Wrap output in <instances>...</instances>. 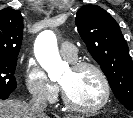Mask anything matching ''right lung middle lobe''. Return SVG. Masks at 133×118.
<instances>
[{
    "label": "right lung middle lobe",
    "instance_id": "1",
    "mask_svg": "<svg viewBox=\"0 0 133 118\" xmlns=\"http://www.w3.org/2000/svg\"><path fill=\"white\" fill-rule=\"evenodd\" d=\"M16 64L17 59L0 58V96H7L16 89Z\"/></svg>",
    "mask_w": 133,
    "mask_h": 118
}]
</instances>
